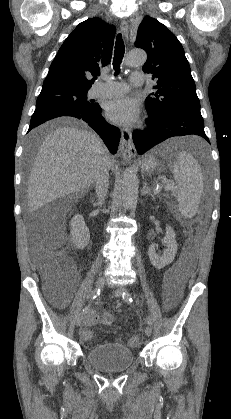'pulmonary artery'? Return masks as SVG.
Segmentation results:
<instances>
[{
	"mask_svg": "<svg viewBox=\"0 0 231 419\" xmlns=\"http://www.w3.org/2000/svg\"><path fill=\"white\" fill-rule=\"evenodd\" d=\"M145 81V76L141 72H134L130 75L129 84L126 82H115L108 80L94 85L89 95L93 98L98 97H115L126 93L130 86H141Z\"/></svg>",
	"mask_w": 231,
	"mask_h": 419,
	"instance_id": "pulmonary-artery-1",
	"label": "pulmonary artery"
}]
</instances>
